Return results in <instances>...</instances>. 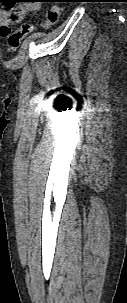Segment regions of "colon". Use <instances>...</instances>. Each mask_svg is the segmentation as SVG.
<instances>
[{
  "label": "colon",
  "mask_w": 127,
  "mask_h": 303,
  "mask_svg": "<svg viewBox=\"0 0 127 303\" xmlns=\"http://www.w3.org/2000/svg\"><path fill=\"white\" fill-rule=\"evenodd\" d=\"M61 15L60 7L52 3L47 11L46 21H45V28H50L59 22ZM34 30V26L30 23L23 24L20 28L16 29L15 31L11 32L6 36L9 48L12 51H15L19 48L22 41Z\"/></svg>",
  "instance_id": "colon-1"
}]
</instances>
